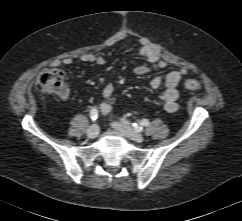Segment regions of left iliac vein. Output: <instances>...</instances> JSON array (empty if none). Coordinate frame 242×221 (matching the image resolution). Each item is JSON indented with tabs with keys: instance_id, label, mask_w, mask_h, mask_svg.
Here are the masks:
<instances>
[{
	"instance_id": "left-iliac-vein-1",
	"label": "left iliac vein",
	"mask_w": 242,
	"mask_h": 221,
	"mask_svg": "<svg viewBox=\"0 0 242 221\" xmlns=\"http://www.w3.org/2000/svg\"><path fill=\"white\" fill-rule=\"evenodd\" d=\"M111 125L115 130H117L122 135H124L125 137L133 141H136L138 143H141L144 141V136L142 134L138 133L137 131L129 128L128 126L120 122H113Z\"/></svg>"
}]
</instances>
